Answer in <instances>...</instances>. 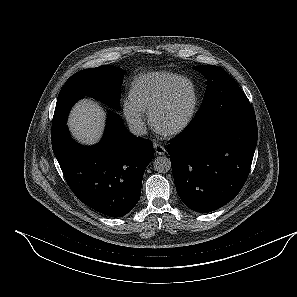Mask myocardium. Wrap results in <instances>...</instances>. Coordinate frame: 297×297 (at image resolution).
I'll return each mask as SVG.
<instances>
[{"mask_svg": "<svg viewBox=\"0 0 297 297\" xmlns=\"http://www.w3.org/2000/svg\"><path fill=\"white\" fill-rule=\"evenodd\" d=\"M182 82H186L190 86V90H191V102H190L188 111H187L186 115L184 116V118L179 123H177L176 125H174L171 128L163 129V128L159 127V125L157 123V117L160 114V112L168 105L175 89ZM197 107H198V92H197L194 82L188 77L178 76L169 85L168 89L166 90L164 95L161 97V99L150 110V112H149L150 124H151L152 128L162 136H165V137L176 136V135L182 133L191 124V122L193 121V119L195 117Z\"/></svg>", "mask_w": 297, "mask_h": 297, "instance_id": "1", "label": "myocardium"}]
</instances>
